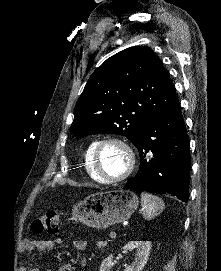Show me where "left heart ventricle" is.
Instances as JSON below:
<instances>
[{
    "label": "left heart ventricle",
    "mask_w": 221,
    "mask_h": 271,
    "mask_svg": "<svg viewBox=\"0 0 221 271\" xmlns=\"http://www.w3.org/2000/svg\"><path fill=\"white\" fill-rule=\"evenodd\" d=\"M124 152H120V147H101V158L98 163H101L103 172L111 177H121L122 170L126 169L123 161Z\"/></svg>",
    "instance_id": "b2bd125f"
}]
</instances>
